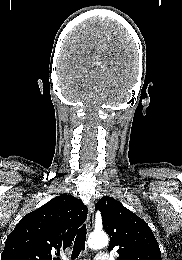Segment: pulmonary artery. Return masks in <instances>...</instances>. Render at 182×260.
Masks as SVG:
<instances>
[{
	"mask_svg": "<svg viewBox=\"0 0 182 260\" xmlns=\"http://www.w3.org/2000/svg\"><path fill=\"white\" fill-rule=\"evenodd\" d=\"M94 260H109V257H108V254L107 253H104V252H99Z\"/></svg>",
	"mask_w": 182,
	"mask_h": 260,
	"instance_id": "pulmonary-artery-1",
	"label": "pulmonary artery"
}]
</instances>
